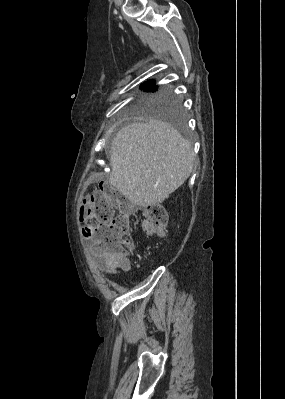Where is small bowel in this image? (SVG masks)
<instances>
[{
    "label": "small bowel",
    "instance_id": "obj_1",
    "mask_svg": "<svg viewBox=\"0 0 285 399\" xmlns=\"http://www.w3.org/2000/svg\"><path fill=\"white\" fill-rule=\"evenodd\" d=\"M106 264L108 266V271L112 272L114 270L112 263L109 260H106Z\"/></svg>",
    "mask_w": 285,
    "mask_h": 399
}]
</instances>
